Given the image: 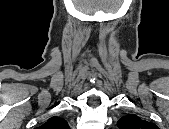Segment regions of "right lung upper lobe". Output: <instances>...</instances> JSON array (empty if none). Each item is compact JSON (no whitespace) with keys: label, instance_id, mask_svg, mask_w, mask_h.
Returning a JSON list of instances; mask_svg holds the SVG:
<instances>
[{"label":"right lung upper lobe","instance_id":"cb5924a9","mask_svg":"<svg viewBox=\"0 0 169 129\" xmlns=\"http://www.w3.org/2000/svg\"><path fill=\"white\" fill-rule=\"evenodd\" d=\"M43 129H67L68 123L66 120L59 117H51L41 126Z\"/></svg>","mask_w":169,"mask_h":129}]
</instances>
